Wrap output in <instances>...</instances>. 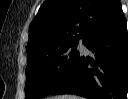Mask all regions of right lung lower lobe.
<instances>
[{
    "instance_id": "98d812e1",
    "label": "right lung lower lobe",
    "mask_w": 128,
    "mask_h": 99,
    "mask_svg": "<svg viewBox=\"0 0 128 99\" xmlns=\"http://www.w3.org/2000/svg\"><path fill=\"white\" fill-rule=\"evenodd\" d=\"M83 44L93 58L81 55L72 73L52 92L89 99H126L128 85V33L120 6L94 29Z\"/></svg>"
}]
</instances>
